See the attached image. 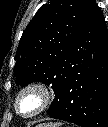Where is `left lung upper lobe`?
I'll use <instances>...</instances> for the list:
<instances>
[{"label": "left lung upper lobe", "instance_id": "obj_1", "mask_svg": "<svg viewBox=\"0 0 108 127\" xmlns=\"http://www.w3.org/2000/svg\"><path fill=\"white\" fill-rule=\"evenodd\" d=\"M90 0H52L30 21L15 55L17 83L52 84L55 93Z\"/></svg>", "mask_w": 108, "mask_h": 127}]
</instances>
